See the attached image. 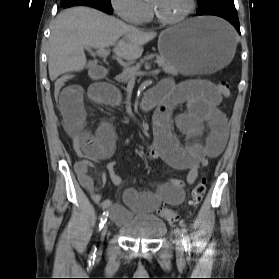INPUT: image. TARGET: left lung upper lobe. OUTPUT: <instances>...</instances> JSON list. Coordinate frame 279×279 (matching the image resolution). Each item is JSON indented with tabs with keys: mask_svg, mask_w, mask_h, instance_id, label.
Listing matches in <instances>:
<instances>
[{
	"mask_svg": "<svg viewBox=\"0 0 279 279\" xmlns=\"http://www.w3.org/2000/svg\"><path fill=\"white\" fill-rule=\"evenodd\" d=\"M217 1H222V0H198L199 3V8L204 9L205 7H207L208 5L217 2Z\"/></svg>",
	"mask_w": 279,
	"mask_h": 279,
	"instance_id": "left-lung-upper-lobe-1",
	"label": "left lung upper lobe"
}]
</instances>
